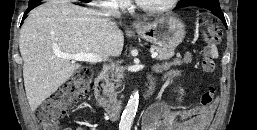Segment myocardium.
<instances>
[{"instance_id":"1","label":"myocardium","mask_w":257,"mask_h":130,"mask_svg":"<svg viewBox=\"0 0 257 130\" xmlns=\"http://www.w3.org/2000/svg\"><path fill=\"white\" fill-rule=\"evenodd\" d=\"M179 0H169L165 4L157 7H149L141 3L140 0H136L137 6L144 12L151 13V14H158L166 12L170 9H172Z\"/></svg>"}]
</instances>
